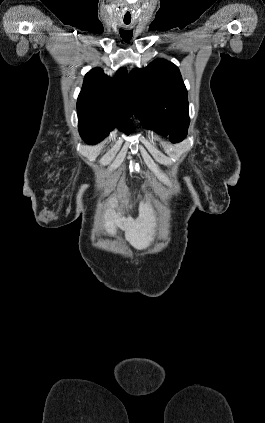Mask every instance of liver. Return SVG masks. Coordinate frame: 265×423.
Here are the masks:
<instances>
[{
	"instance_id": "liver-1",
	"label": "liver",
	"mask_w": 265,
	"mask_h": 423,
	"mask_svg": "<svg viewBox=\"0 0 265 423\" xmlns=\"http://www.w3.org/2000/svg\"><path fill=\"white\" fill-rule=\"evenodd\" d=\"M116 204H110L105 213V228L110 235L116 234V227L119 226L125 231V238L136 249L147 248L154 239L155 218L151 208L141 206L139 219L120 218L114 208Z\"/></svg>"
}]
</instances>
